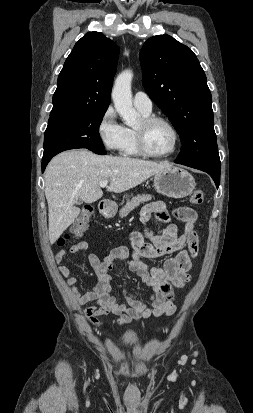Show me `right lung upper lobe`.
Segmentation results:
<instances>
[{
	"label": "right lung upper lobe",
	"mask_w": 253,
	"mask_h": 413,
	"mask_svg": "<svg viewBox=\"0 0 253 413\" xmlns=\"http://www.w3.org/2000/svg\"><path fill=\"white\" fill-rule=\"evenodd\" d=\"M118 54L119 47L102 33H86L59 74L50 116L107 109Z\"/></svg>",
	"instance_id": "obj_1"
}]
</instances>
